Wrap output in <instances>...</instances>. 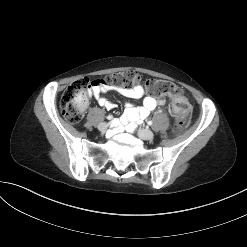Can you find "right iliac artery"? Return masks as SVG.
Here are the masks:
<instances>
[{"label":"right iliac artery","instance_id":"obj_1","mask_svg":"<svg viewBox=\"0 0 247 247\" xmlns=\"http://www.w3.org/2000/svg\"><path fill=\"white\" fill-rule=\"evenodd\" d=\"M110 118H113V116L112 115L107 116V119H110Z\"/></svg>","mask_w":247,"mask_h":247}]
</instances>
